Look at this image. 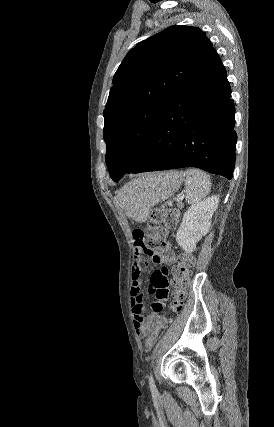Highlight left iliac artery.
I'll list each match as a JSON object with an SVG mask.
<instances>
[{
  "mask_svg": "<svg viewBox=\"0 0 274 427\" xmlns=\"http://www.w3.org/2000/svg\"><path fill=\"white\" fill-rule=\"evenodd\" d=\"M149 386L152 394L157 393V388L152 375L149 376Z\"/></svg>",
  "mask_w": 274,
  "mask_h": 427,
  "instance_id": "1",
  "label": "left iliac artery"
}]
</instances>
